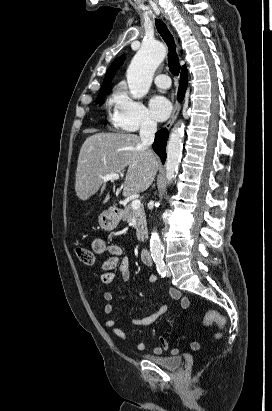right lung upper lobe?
Segmentation results:
<instances>
[{"label": "right lung upper lobe", "mask_w": 272, "mask_h": 411, "mask_svg": "<svg viewBox=\"0 0 272 411\" xmlns=\"http://www.w3.org/2000/svg\"><path fill=\"white\" fill-rule=\"evenodd\" d=\"M125 56H121L120 58H117L114 60V62L111 64L109 69L106 72V76L103 81V85L101 87V90L104 89L106 86H109L111 83V80L113 79L117 69L124 63ZM186 68V66H182V69Z\"/></svg>", "instance_id": "obj_1"}]
</instances>
